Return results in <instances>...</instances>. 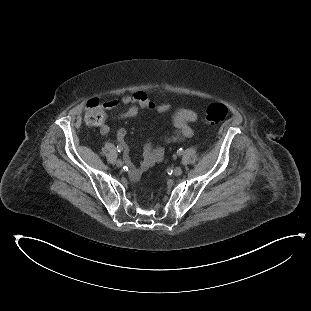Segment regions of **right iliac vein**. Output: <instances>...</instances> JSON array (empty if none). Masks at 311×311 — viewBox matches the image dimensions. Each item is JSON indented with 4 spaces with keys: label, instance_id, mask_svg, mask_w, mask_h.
Returning a JSON list of instances; mask_svg holds the SVG:
<instances>
[{
    "label": "right iliac vein",
    "instance_id": "1",
    "mask_svg": "<svg viewBox=\"0 0 311 311\" xmlns=\"http://www.w3.org/2000/svg\"><path fill=\"white\" fill-rule=\"evenodd\" d=\"M116 165H117V167H122L123 166V161L122 160H117L116 161Z\"/></svg>",
    "mask_w": 311,
    "mask_h": 311
}]
</instances>
